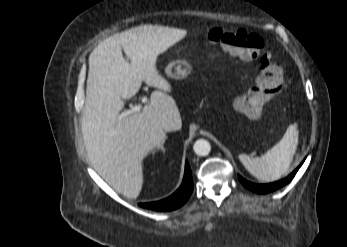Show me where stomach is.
<instances>
[{"label":"stomach","mask_w":347,"mask_h":247,"mask_svg":"<svg viewBox=\"0 0 347 247\" xmlns=\"http://www.w3.org/2000/svg\"><path fill=\"white\" fill-rule=\"evenodd\" d=\"M168 77L174 79H183L191 73V65L185 61H176L165 69Z\"/></svg>","instance_id":"stomach-1"}]
</instances>
